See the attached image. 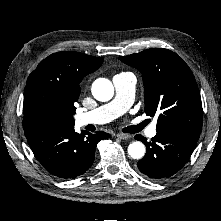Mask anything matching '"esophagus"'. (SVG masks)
I'll list each match as a JSON object with an SVG mask.
<instances>
[{
    "label": "esophagus",
    "instance_id": "1",
    "mask_svg": "<svg viewBox=\"0 0 221 221\" xmlns=\"http://www.w3.org/2000/svg\"><path fill=\"white\" fill-rule=\"evenodd\" d=\"M117 137L119 139L126 140V139H129L131 136L129 134H125V133H118Z\"/></svg>",
    "mask_w": 221,
    "mask_h": 221
}]
</instances>
